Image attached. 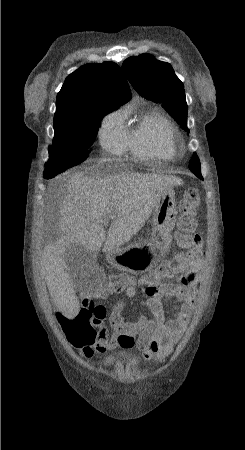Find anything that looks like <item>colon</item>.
Segmentation results:
<instances>
[{
    "instance_id": "5ec220e1",
    "label": "colon",
    "mask_w": 245,
    "mask_h": 450,
    "mask_svg": "<svg viewBox=\"0 0 245 450\" xmlns=\"http://www.w3.org/2000/svg\"><path fill=\"white\" fill-rule=\"evenodd\" d=\"M200 195L197 189H187L179 203L180 217L178 222V245L183 250H202L203 239L194 233ZM163 272L160 271V273ZM153 278H150L152 281ZM134 283V279L125 272L115 273L108 279V285L113 290H123ZM106 310L97 301L83 298L78 312L67 316L62 321V330L66 337L75 344L92 343L97 336V327L103 322ZM125 346L132 344L133 338L123 335Z\"/></svg>"
}]
</instances>
